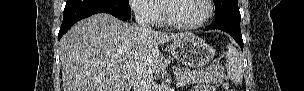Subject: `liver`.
<instances>
[{
    "instance_id": "liver-1",
    "label": "liver",
    "mask_w": 304,
    "mask_h": 91,
    "mask_svg": "<svg viewBox=\"0 0 304 91\" xmlns=\"http://www.w3.org/2000/svg\"><path fill=\"white\" fill-rule=\"evenodd\" d=\"M191 33H143L106 13L77 22L60 41L64 91H130L140 70L156 74L167 62L159 45Z\"/></svg>"
}]
</instances>
